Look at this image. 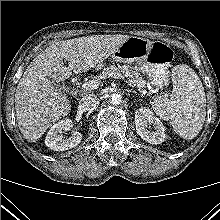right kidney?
I'll return each instance as SVG.
<instances>
[{
	"instance_id": "ca27d5eb",
	"label": "right kidney",
	"mask_w": 220,
	"mask_h": 220,
	"mask_svg": "<svg viewBox=\"0 0 220 220\" xmlns=\"http://www.w3.org/2000/svg\"><path fill=\"white\" fill-rule=\"evenodd\" d=\"M72 127V120L67 118L54 124L45 138L46 146L54 151H65L76 147L81 142V133L74 132L69 138H65V136L62 135L64 131H68Z\"/></svg>"
}]
</instances>
